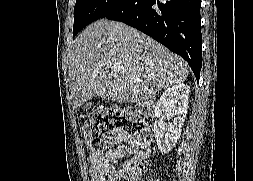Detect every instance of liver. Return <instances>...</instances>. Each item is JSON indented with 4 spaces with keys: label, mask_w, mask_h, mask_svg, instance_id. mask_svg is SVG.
<instances>
[{
    "label": "liver",
    "mask_w": 253,
    "mask_h": 181,
    "mask_svg": "<svg viewBox=\"0 0 253 181\" xmlns=\"http://www.w3.org/2000/svg\"><path fill=\"white\" fill-rule=\"evenodd\" d=\"M188 73V64L178 55L140 31L107 19L89 25L69 53L76 106L97 96L120 104L140 103L184 82Z\"/></svg>",
    "instance_id": "liver-1"
}]
</instances>
